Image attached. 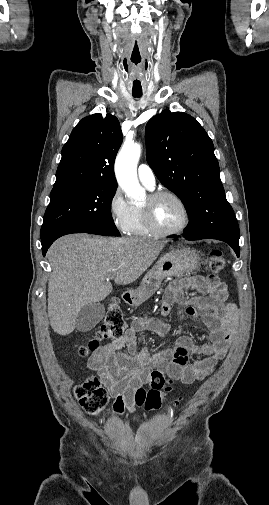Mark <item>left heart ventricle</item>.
<instances>
[{"label": "left heart ventricle", "instance_id": "1", "mask_svg": "<svg viewBox=\"0 0 269 505\" xmlns=\"http://www.w3.org/2000/svg\"><path fill=\"white\" fill-rule=\"evenodd\" d=\"M147 202V197L142 205ZM153 217L156 224L164 230L180 227L184 222V211L181 205L173 198L165 196L158 199L153 205Z\"/></svg>", "mask_w": 269, "mask_h": 505}]
</instances>
